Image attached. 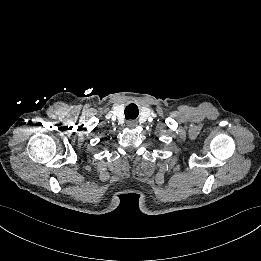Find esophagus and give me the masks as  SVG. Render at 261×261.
Listing matches in <instances>:
<instances>
[{"instance_id":"esophagus-1","label":"esophagus","mask_w":261,"mask_h":261,"mask_svg":"<svg viewBox=\"0 0 261 261\" xmlns=\"http://www.w3.org/2000/svg\"><path fill=\"white\" fill-rule=\"evenodd\" d=\"M126 124H127V127L134 128L135 126H137V121L136 120H128Z\"/></svg>"}]
</instances>
